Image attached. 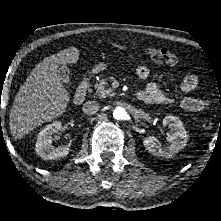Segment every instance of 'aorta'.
<instances>
[{
  "mask_svg": "<svg viewBox=\"0 0 221 221\" xmlns=\"http://www.w3.org/2000/svg\"><path fill=\"white\" fill-rule=\"evenodd\" d=\"M113 117L116 120H125L127 117V112L123 107H116L113 110Z\"/></svg>",
  "mask_w": 221,
  "mask_h": 221,
  "instance_id": "1",
  "label": "aorta"
}]
</instances>
